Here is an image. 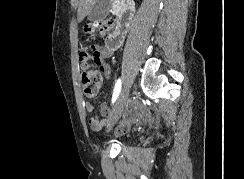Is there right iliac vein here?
I'll list each match as a JSON object with an SVG mask.
<instances>
[{
	"mask_svg": "<svg viewBox=\"0 0 244 179\" xmlns=\"http://www.w3.org/2000/svg\"><path fill=\"white\" fill-rule=\"evenodd\" d=\"M126 98H127V89L125 88L120 92V94L117 98V101H116L115 105L113 106V109L110 113V116L108 119V124H107L108 132H110L112 130L114 123L119 119V116L125 105Z\"/></svg>",
	"mask_w": 244,
	"mask_h": 179,
	"instance_id": "right-iliac-vein-1",
	"label": "right iliac vein"
}]
</instances>
